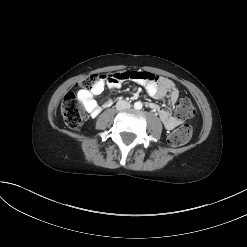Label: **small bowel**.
I'll use <instances>...</instances> for the list:
<instances>
[{
  "label": "small bowel",
  "instance_id": "small-bowel-1",
  "mask_svg": "<svg viewBox=\"0 0 247 247\" xmlns=\"http://www.w3.org/2000/svg\"><path fill=\"white\" fill-rule=\"evenodd\" d=\"M127 79H132L145 86L147 93L155 99L161 100L168 97L169 104L171 105L175 104L179 98V90L170 79L156 76L150 71H136L131 69H126L125 71L119 69L114 73L108 74L106 78L101 79L91 90H78L77 97L90 115L96 117L102 110V106L97 102L96 97L103 92L105 85L111 89H117L126 83ZM109 104L110 102L107 101L104 106H108ZM149 107L158 113L166 129L172 130L180 124V121L168 110L156 104H149Z\"/></svg>",
  "mask_w": 247,
  "mask_h": 247
}]
</instances>
